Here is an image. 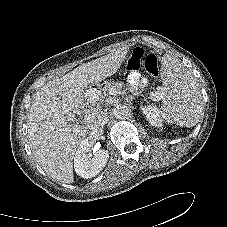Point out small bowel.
I'll return each mask as SVG.
<instances>
[{"label": "small bowel", "mask_w": 227, "mask_h": 227, "mask_svg": "<svg viewBox=\"0 0 227 227\" xmlns=\"http://www.w3.org/2000/svg\"><path fill=\"white\" fill-rule=\"evenodd\" d=\"M128 86L130 90H135L140 85H143L146 81L141 78L140 75L136 72L130 73L127 78Z\"/></svg>", "instance_id": "c3829d8e"}]
</instances>
